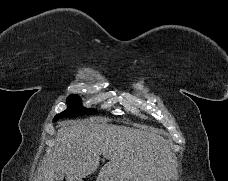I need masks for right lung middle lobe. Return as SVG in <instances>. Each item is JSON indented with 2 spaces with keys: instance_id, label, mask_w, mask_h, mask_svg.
<instances>
[{
  "instance_id": "right-lung-middle-lobe-1",
  "label": "right lung middle lobe",
  "mask_w": 228,
  "mask_h": 181,
  "mask_svg": "<svg viewBox=\"0 0 228 181\" xmlns=\"http://www.w3.org/2000/svg\"><path fill=\"white\" fill-rule=\"evenodd\" d=\"M67 104H68V109L61 112L60 114H57L53 121L56 122L60 118H69V117H74L81 115L83 113L85 114H95L96 111L95 109H86L81 106V99L77 95H70L67 98Z\"/></svg>"
}]
</instances>
